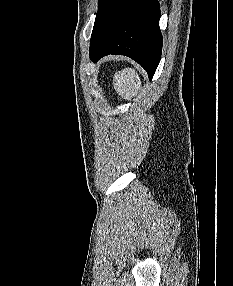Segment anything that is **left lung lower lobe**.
<instances>
[{"mask_svg":"<svg viewBox=\"0 0 233 286\" xmlns=\"http://www.w3.org/2000/svg\"><path fill=\"white\" fill-rule=\"evenodd\" d=\"M157 0H99L90 39V59L126 55L152 79L160 62L162 35Z\"/></svg>","mask_w":233,"mask_h":286,"instance_id":"1","label":"left lung lower lobe"}]
</instances>
